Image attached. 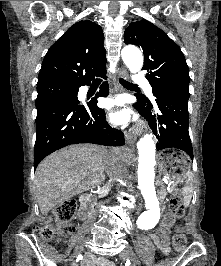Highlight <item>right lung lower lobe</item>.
<instances>
[{"instance_id":"obj_1","label":"right lung lower lobe","mask_w":221,"mask_h":266,"mask_svg":"<svg viewBox=\"0 0 221 266\" xmlns=\"http://www.w3.org/2000/svg\"><path fill=\"white\" fill-rule=\"evenodd\" d=\"M105 75L106 72L99 76L105 78ZM106 95L107 89L102 88L91 101L80 104L76 94L37 111L34 168L47 155L70 144H125L123 133L110 127L104 110L97 107V96Z\"/></svg>"}]
</instances>
